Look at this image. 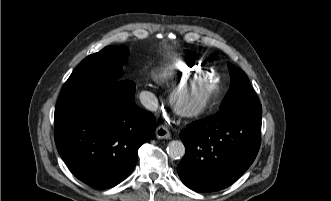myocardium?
Returning a JSON list of instances; mask_svg holds the SVG:
<instances>
[{
	"instance_id": "1",
	"label": "myocardium",
	"mask_w": 331,
	"mask_h": 201,
	"mask_svg": "<svg viewBox=\"0 0 331 201\" xmlns=\"http://www.w3.org/2000/svg\"><path fill=\"white\" fill-rule=\"evenodd\" d=\"M197 83L199 86H203L205 91L201 98L195 103L190 105H182L176 99L177 92L186 87ZM218 86L212 83L209 78L196 77L191 78L186 82H177L173 84L168 91V101L172 109L183 117H195L205 112L211 104L214 102L218 94Z\"/></svg>"
}]
</instances>
